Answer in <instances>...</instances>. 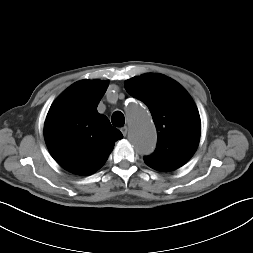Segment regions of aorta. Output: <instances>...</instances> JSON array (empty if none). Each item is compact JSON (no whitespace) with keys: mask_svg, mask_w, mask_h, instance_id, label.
<instances>
[{"mask_svg":"<svg viewBox=\"0 0 253 253\" xmlns=\"http://www.w3.org/2000/svg\"><path fill=\"white\" fill-rule=\"evenodd\" d=\"M129 118V138L135 150L142 155H149L156 145V129L148 111L131 102L127 107Z\"/></svg>","mask_w":253,"mask_h":253,"instance_id":"1","label":"aorta"}]
</instances>
